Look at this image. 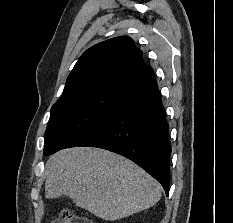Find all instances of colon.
I'll use <instances>...</instances> for the list:
<instances>
[{
  "mask_svg": "<svg viewBox=\"0 0 233 223\" xmlns=\"http://www.w3.org/2000/svg\"><path fill=\"white\" fill-rule=\"evenodd\" d=\"M53 223H93L85 217H77L69 209H63L60 213V217L53 221Z\"/></svg>",
  "mask_w": 233,
  "mask_h": 223,
  "instance_id": "5ec220e1",
  "label": "colon"
}]
</instances>
